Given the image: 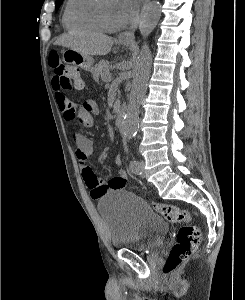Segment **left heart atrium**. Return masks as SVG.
<instances>
[{"label":"left heart atrium","instance_id":"1","mask_svg":"<svg viewBox=\"0 0 245 300\" xmlns=\"http://www.w3.org/2000/svg\"><path fill=\"white\" fill-rule=\"evenodd\" d=\"M141 0H120V3L125 11L127 19L131 18Z\"/></svg>","mask_w":245,"mask_h":300}]
</instances>
